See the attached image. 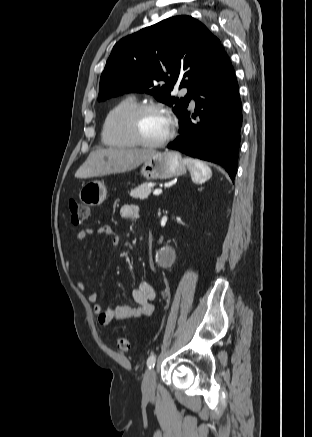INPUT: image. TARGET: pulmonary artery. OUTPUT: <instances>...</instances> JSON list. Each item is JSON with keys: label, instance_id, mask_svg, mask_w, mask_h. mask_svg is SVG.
Masks as SVG:
<instances>
[{"label": "pulmonary artery", "instance_id": "1", "mask_svg": "<svg viewBox=\"0 0 312 437\" xmlns=\"http://www.w3.org/2000/svg\"><path fill=\"white\" fill-rule=\"evenodd\" d=\"M186 93H187V90L184 89V90L182 91V94H186ZM191 105H192V106L195 105V101H194V99H191Z\"/></svg>", "mask_w": 312, "mask_h": 437}]
</instances>
